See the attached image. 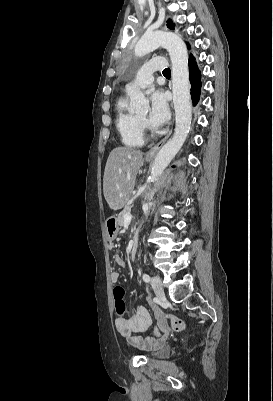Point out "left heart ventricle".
Segmentation results:
<instances>
[{
  "label": "left heart ventricle",
  "instance_id": "b2bd125f",
  "mask_svg": "<svg viewBox=\"0 0 273 401\" xmlns=\"http://www.w3.org/2000/svg\"><path fill=\"white\" fill-rule=\"evenodd\" d=\"M145 115H146V113H142V114H139L138 116H139L140 118H142V119H145Z\"/></svg>",
  "mask_w": 273,
  "mask_h": 401
}]
</instances>
